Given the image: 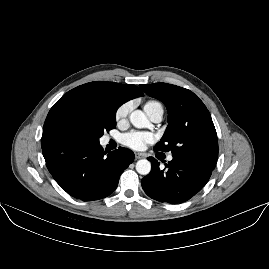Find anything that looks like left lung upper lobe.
<instances>
[{
	"label": "left lung upper lobe",
	"mask_w": 269,
	"mask_h": 269,
	"mask_svg": "<svg viewBox=\"0 0 269 269\" xmlns=\"http://www.w3.org/2000/svg\"><path fill=\"white\" fill-rule=\"evenodd\" d=\"M149 96L162 101L168 111V126L155 150L169 151L172 156L198 165L215 168L218 140L209 111L188 89L167 84L140 85Z\"/></svg>",
	"instance_id": "left-lung-upper-lobe-1"
}]
</instances>
